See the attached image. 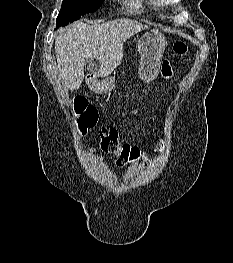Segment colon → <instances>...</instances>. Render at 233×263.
I'll return each instance as SVG.
<instances>
[{
  "label": "colon",
  "instance_id": "obj_1",
  "mask_svg": "<svg viewBox=\"0 0 233 263\" xmlns=\"http://www.w3.org/2000/svg\"><path fill=\"white\" fill-rule=\"evenodd\" d=\"M174 51L179 57H182L187 52V45L182 41H177L174 44ZM75 112L79 117L80 127L83 132L96 127L98 112L94 106L84 99H78L75 101ZM97 131L102 150L116 156L119 165H125L140 158L141 150L138 147L121 143L115 128L104 125L98 127Z\"/></svg>",
  "mask_w": 233,
  "mask_h": 263
}]
</instances>
